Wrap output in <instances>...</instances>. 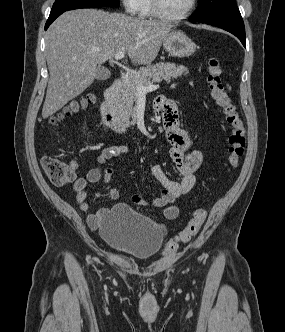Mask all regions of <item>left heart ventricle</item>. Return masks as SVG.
<instances>
[{
	"mask_svg": "<svg viewBox=\"0 0 285 332\" xmlns=\"http://www.w3.org/2000/svg\"><path fill=\"white\" fill-rule=\"evenodd\" d=\"M163 10L171 16L181 15L189 7L191 0H161Z\"/></svg>",
	"mask_w": 285,
	"mask_h": 332,
	"instance_id": "obj_1",
	"label": "left heart ventricle"
}]
</instances>
